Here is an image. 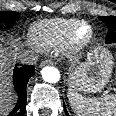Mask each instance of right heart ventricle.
Here are the masks:
<instances>
[{"label": "right heart ventricle", "mask_w": 116, "mask_h": 116, "mask_svg": "<svg viewBox=\"0 0 116 116\" xmlns=\"http://www.w3.org/2000/svg\"><path fill=\"white\" fill-rule=\"evenodd\" d=\"M78 21L73 18H57L34 23L28 31V42L36 50L48 52L62 43L68 30Z\"/></svg>", "instance_id": "right-heart-ventricle-1"}]
</instances>
